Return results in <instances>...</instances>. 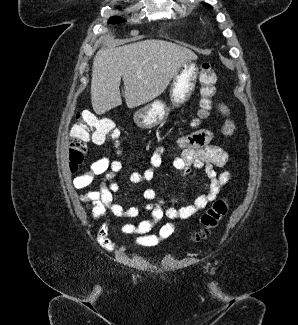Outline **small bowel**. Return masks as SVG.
I'll return each instance as SVG.
<instances>
[{
	"label": "small bowel",
	"instance_id": "c3829d8e",
	"mask_svg": "<svg viewBox=\"0 0 298 325\" xmlns=\"http://www.w3.org/2000/svg\"><path fill=\"white\" fill-rule=\"evenodd\" d=\"M217 109L225 118L222 127L223 134L225 136L232 135L234 123L230 118L229 107L224 103H218ZM213 137L214 134L209 129H201L183 135L176 140L180 152L172 153L173 167L181 173L182 177H189L192 168L204 172L207 177V181L204 183L205 193L198 196L193 204L178 206V199L172 198L167 202L160 198L154 189L148 188L143 192V197L147 200L144 210L151 214L152 219L142 220L137 224L123 225L121 227L123 234L135 236L134 242L139 246L156 247L173 235L175 224L166 223L155 234L152 233L155 222L164 217L172 220H187L216 199L221 189L229 182L230 173L227 170H215V167H224L227 164L229 155L223 148L211 144ZM166 153L167 150L164 146L157 147L149 157L150 167L142 172H131L129 174L130 182L138 184L152 180L155 170L162 165ZM121 170L122 164L119 161L103 156L94 161L88 171L73 179L76 189H85L92 184L95 177H103L105 183L98 190L89 191L81 196V200L86 203V208L91 212L94 221H101L107 210L115 217L134 219L140 215L139 207L124 208L120 204L113 203V194L119 189L114 180ZM108 229L109 223L104 221L98 229L97 241L103 248L112 251L117 246L108 238Z\"/></svg>",
	"mask_w": 298,
	"mask_h": 325
}]
</instances>
